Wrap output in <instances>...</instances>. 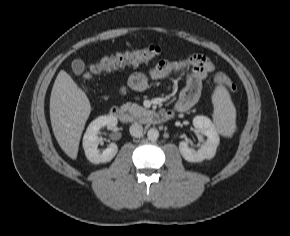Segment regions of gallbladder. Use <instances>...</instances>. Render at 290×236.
<instances>
[{
    "mask_svg": "<svg viewBox=\"0 0 290 236\" xmlns=\"http://www.w3.org/2000/svg\"><path fill=\"white\" fill-rule=\"evenodd\" d=\"M71 66L74 74L76 75H81L85 68L84 62L80 59L73 60Z\"/></svg>",
    "mask_w": 290,
    "mask_h": 236,
    "instance_id": "1",
    "label": "gallbladder"
}]
</instances>
